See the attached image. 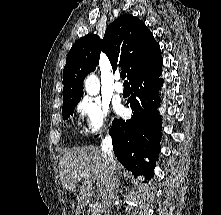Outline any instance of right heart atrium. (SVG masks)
Here are the masks:
<instances>
[{
    "label": "right heart atrium",
    "instance_id": "d8ad5b80",
    "mask_svg": "<svg viewBox=\"0 0 221 215\" xmlns=\"http://www.w3.org/2000/svg\"><path fill=\"white\" fill-rule=\"evenodd\" d=\"M77 112L81 116L85 131L95 135L107 127L109 106L94 96H86L77 104Z\"/></svg>",
    "mask_w": 221,
    "mask_h": 215
}]
</instances>
